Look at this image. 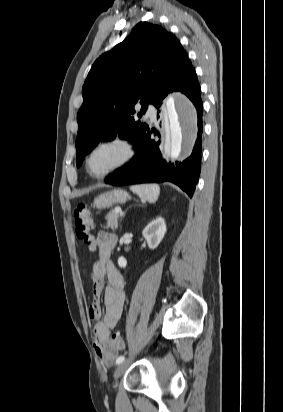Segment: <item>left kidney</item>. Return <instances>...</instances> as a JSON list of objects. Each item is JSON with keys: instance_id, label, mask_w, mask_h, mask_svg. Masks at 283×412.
<instances>
[{"instance_id": "left-kidney-1", "label": "left kidney", "mask_w": 283, "mask_h": 412, "mask_svg": "<svg viewBox=\"0 0 283 412\" xmlns=\"http://www.w3.org/2000/svg\"><path fill=\"white\" fill-rule=\"evenodd\" d=\"M166 233L165 220L159 217L152 222H150L143 230V237L146 239L148 247L150 249H155L158 247ZM118 265L121 268L126 267L127 261L124 257H119Z\"/></svg>"}]
</instances>
